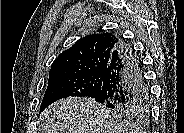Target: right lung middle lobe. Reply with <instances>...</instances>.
I'll return each instance as SVG.
<instances>
[{
  "instance_id": "obj_1",
  "label": "right lung middle lobe",
  "mask_w": 184,
  "mask_h": 133,
  "mask_svg": "<svg viewBox=\"0 0 184 133\" xmlns=\"http://www.w3.org/2000/svg\"><path fill=\"white\" fill-rule=\"evenodd\" d=\"M102 80L103 73H95L78 77H66L49 82L40 106V113L51 103L65 97L94 98L101 89ZM102 105L110 114L134 118L142 117L150 108L149 95L135 104Z\"/></svg>"
}]
</instances>
